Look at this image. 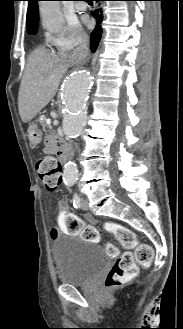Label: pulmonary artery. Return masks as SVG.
Masks as SVG:
<instances>
[{
    "label": "pulmonary artery",
    "mask_w": 183,
    "mask_h": 329,
    "mask_svg": "<svg viewBox=\"0 0 183 329\" xmlns=\"http://www.w3.org/2000/svg\"><path fill=\"white\" fill-rule=\"evenodd\" d=\"M77 12L82 13L87 10V5L85 3H78L75 6Z\"/></svg>",
    "instance_id": "e3ab8cb5"
}]
</instances>
